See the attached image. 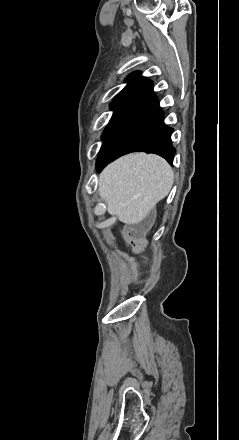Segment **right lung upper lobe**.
Returning <instances> with one entry per match:
<instances>
[{
    "label": "right lung upper lobe",
    "mask_w": 239,
    "mask_h": 440,
    "mask_svg": "<svg viewBox=\"0 0 239 440\" xmlns=\"http://www.w3.org/2000/svg\"><path fill=\"white\" fill-rule=\"evenodd\" d=\"M126 81L128 85L114 98L113 102H131L152 91L153 82L142 77L139 72L130 74Z\"/></svg>",
    "instance_id": "obj_1"
}]
</instances>
